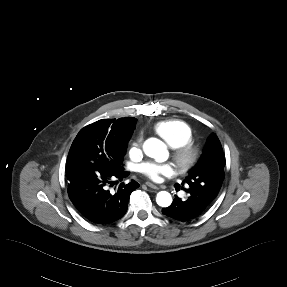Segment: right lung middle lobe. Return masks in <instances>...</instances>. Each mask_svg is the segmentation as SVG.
<instances>
[{"mask_svg": "<svg viewBox=\"0 0 287 287\" xmlns=\"http://www.w3.org/2000/svg\"><path fill=\"white\" fill-rule=\"evenodd\" d=\"M127 143H104L91 130L84 127L74 139L69 150L67 163L91 160L112 169H120Z\"/></svg>", "mask_w": 287, "mask_h": 287, "instance_id": "right-lung-middle-lobe-1", "label": "right lung middle lobe"}]
</instances>
